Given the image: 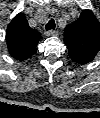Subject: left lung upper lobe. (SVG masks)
<instances>
[{
    "label": "left lung upper lobe",
    "mask_w": 100,
    "mask_h": 118,
    "mask_svg": "<svg viewBox=\"0 0 100 118\" xmlns=\"http://www.w3.org/2000/svg\"><path fill=\"white\" fill-rule=\"evenodd\" d=\"M64 42L70 58L78 64L91 62L100 50V23L90 10L65 29Z\"/></svg>",
    "instance_id": "obj_1"
}]
</instances>
